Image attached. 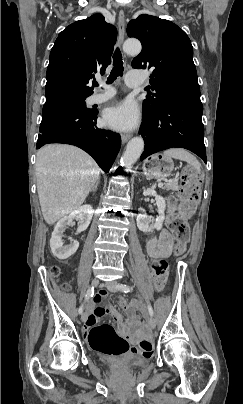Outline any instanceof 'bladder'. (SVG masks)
<instances>
[{
	"label": "bladder",
	"mask_w": 243,
	"mask_h": 404,
	"mask_svg": "<svg viewBox=\"0 0 243 404\" xmlns=\"http://www.w3.org/2000/svg\"><path fill=\"white\" fill-rule=\"evenodd\" d=\"M147 363H148V358L136 356V357L132 358L130 361H128L127 363L120 365L119 368L123 369V370H128V369H132L135 367L145 366Z\"/></svg>",
	"instance_id": "bladder-1"
}]
</instances>
